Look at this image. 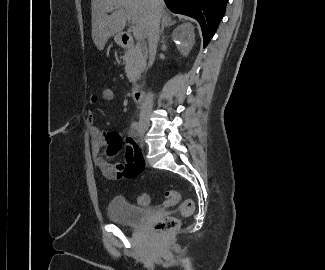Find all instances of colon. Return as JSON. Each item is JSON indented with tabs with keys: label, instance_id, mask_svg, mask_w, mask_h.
Listing matches in <instances>:
<instances>
[{
	"label": "colon",
	"instance_id": "1",
	"mask_svg": "<svg viewBox=\"0 0 325 270\" xmlns=\"http://www.w3.org/2000/svg\"><path fill=\"white\" fill-rule=\"evenodd\" d=\"M102 99L105 102H114L116 100V92L113 87L107 86L102 90ZM180 200L179 193L170 190L165 195L164 204L168 207L176 205ZM150 201L149 195L142 193L138 196V202L141 205H147ZM194 211V203L191 199L183 200L179 205V212L182 216L188 217ZM180 227V220L174 216H168L157 222L154 226V231L157 234L172 232Z\"/></svg>",
	"mask_w": 325,
	"mask_h": 270
}]
</instances>
